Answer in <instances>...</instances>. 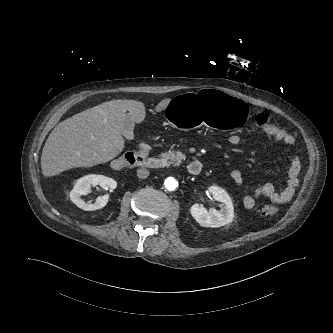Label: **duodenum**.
<instances>
[{
	"label": "duodenum",
	"mask_w": 333,
	"mask_h": 333,
	"mask_svg": "<svg viewBox=\"0 0 333 333\" xmlns=\"http://www.w3.org/2000/svg\"><path fill=\"white\" fill-rule=\"evenodd\" d=\"M165 165L164 161L158 158H148L142 162V166L146 169L158 170L163 168ZM116 168V164H114ZM202 164L198 160H192L187 166L188 173L193 176H198L202 171Z\"/></svg>",
	"instance_id": "obj_1"
}]
</instances>
